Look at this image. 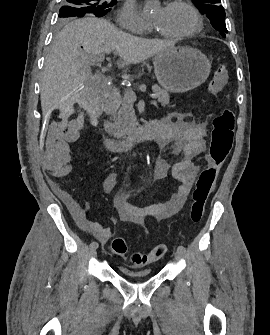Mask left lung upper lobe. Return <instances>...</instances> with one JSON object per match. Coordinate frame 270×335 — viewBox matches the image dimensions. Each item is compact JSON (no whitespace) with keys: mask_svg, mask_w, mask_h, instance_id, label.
<instances>
[{"mask_svg":"<svg viewBox=\"0 0 270 335\" xmlns=\"http://www.w3.org/2000/svg\"><path fill=\"white\" fill-rule=\"evenodd\" d=\"M199 11L210 21L211 25L223 36L227 33L225 11L219 3L221 0H192Z\"/></svg>","mask_w":270,"mask_h":335,"instance_id":"1","label":"left lung upper lobe"}]
</instances>
